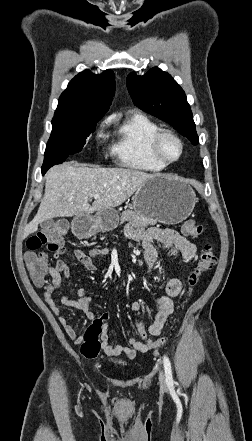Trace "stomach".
Returning a JSON list of instances; mask_svg holds the SVG:
<instances>
[{
  "instance_id": "0dacf381",
  "label": "stomach",
  "mask_w": 252,
  "mask_h": 441,
  "mask_svg": "<svg viewBox=\"0 0 252 441\" xmlns=\"http://www.w3.org/2000/svg\"><path fill=\"white\" fill-rule=\"evenodd\" d=\"M197 202L191 186L184 180L167 175H155L148 179L135 193L132 208L147 218L168 225L178 224L193 211ZM74 222L86 226L88 233L105 232L117 227L119 216L116 210L107 209L94 217L77 216Z\"/></svg>"
}]
</instances>
